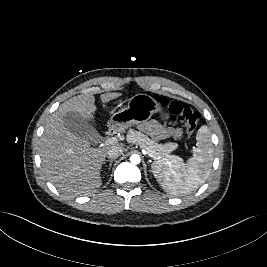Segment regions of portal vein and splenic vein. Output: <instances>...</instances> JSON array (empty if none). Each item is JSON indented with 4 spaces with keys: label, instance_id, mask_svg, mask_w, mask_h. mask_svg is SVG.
I'll list each match as a JSON object with an SVG mask.
<instances>
[{
    "label": "portal vein and splenic vein",
    "instance_id": "obj_1",
    "mask_svg": "<svg viewBox=\"0 0 267 267\" xmlns=\"http://www.w3.org/2000/svg\"><path fill=\"white\" fill-rule=\"evenodd\" d=\"M105 145H108V144H115L117 143V138H108L105 142ZM142 153L145 154V155H148L149 157H152V153L146 151L145 149L142 150ZM153 158V157H152ZM158 159V158H157Z\"/></svg>",
    "mask_w": 267,
    "mask_h": 267
}]
</instances>
